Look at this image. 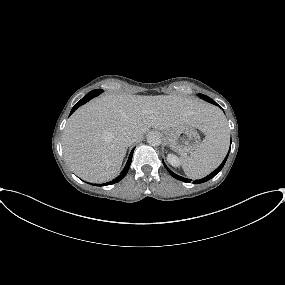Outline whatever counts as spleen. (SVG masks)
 <instances>
[{"label":"spleen","instance_id":"obj_1","mask_svg":"<svg viewBox=\"0 0 285 285\" xmlns=\"http://www.w3.org/2000/svg\"><path fill=\"white\" fill-rule=\"evenodd\" d=\"M230 144L227 122L221 113L213 130L189 156L181 155L180 163L185 174L192 179L205 177L216 169L225 158Z\"/></svg>","mask_w":285,"mask_h":285}]
</instances>
